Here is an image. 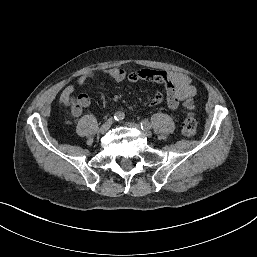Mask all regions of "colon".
I'll return each mask as SVG.
<instances>
[{"instance_id":"1","label":"colon","mask_w":257,"mask_h":257,"mask_svg":"<svg viewBox=\"0 0 257 257\" xmlns=\"http://www.w3.org/2000/svg\"><path fill=\"white\" fill-rule=\"evenodd\" d=\"M198 127V120L196 115L193 112L187 113L185 116L182 126H181V132L182 135L185 137H192L197 130Z\"/></svg>"}]
</instances>
